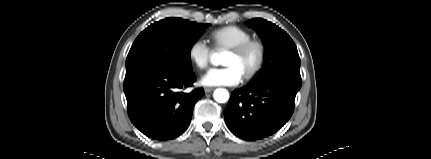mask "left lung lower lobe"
Returning a JSON list of instances; mask_svg holds the SVG:
<instances>
[{"label": "left lung lower lobe", "instance_id": "1", "mask_svg": "<svg viewBox=\"0 0 431 159\" xmlns=\"http://www.w3.org/2000/svg\"><path fill=\"white\" fill-rule=\"evenodd\" d=\"M301 78L279 75L232 92L225 122L237 137L255 141L268 137L290 119Z\"/></svg>", "mask_w": 431, "mask_h": 159}]
</instances>
